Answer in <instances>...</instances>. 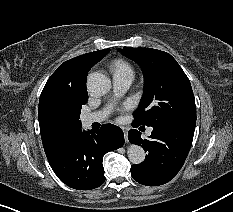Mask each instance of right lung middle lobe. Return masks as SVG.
<instances>
[{
    "label": "right lung middle lobe",
    "instance_id": "dd1d6c3e",
    "mask_svg": "<svg viewBox=\"0 0 233 212\" xmlns=\"http://www.w3.org/2000/svg\"><path fill=\"white\" fill-rule=\"evenodd\" d=\"M88 95L78 96L55 103L51 109L54 120L67 128L78 129L81 127L79 120L82 105L86 104Z\"/></svg>",
    "mask_w": 233,
    "mask_h": 212
}]
</instances>
